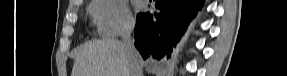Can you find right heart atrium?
I'll use <instances>...</instances> for the list:
<instances>
[{"label":"right heart atrium","mask_w":287,"mask_h":76,"mask_svg":"<svg viewBox=\"0 0 287 76\" xmlns=\"http://www.w3.org/2000/svg\"><path fill=\"white\" fill-rule=\"evenodd\" d=\"M92 15L100 33L106 37L123 35L133 26L132 14L122 0H96Z\"/></svg>","instance_id":"right-heart-atrium-1"}]
</instances>
